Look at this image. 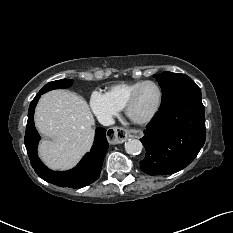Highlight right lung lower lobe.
<instances>
[{"instance_id":"98d812e1","label":"right lung lower lobe","mask_w":233,"mask_h":233,"mask_svg":"<svg viewBox=\"0 0 233 233\" xmlns=\"http://www.w3.org/2000/svg\"><path fill=\"white\" fill-rule=\"evenodd\" d=\"M41 95V93H38L29 106L25 133V146L32 167L39 177L57 186L81 188L93 183L100 176L103 159L109 146L106 139V130L104 128L96 129L95 142L91 151L83 157L75 168L65 172L49 170L37 156L40 136L34 126L33 115Z\"/></svg>"}]
</instances>
